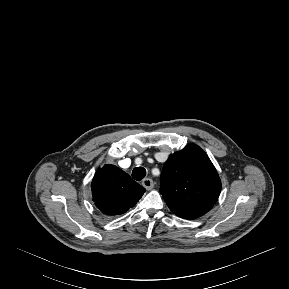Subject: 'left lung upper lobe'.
Returning a JSON list of instances; mask_svg holds the SVG:
<instances>
[{"mask_svg":"<svg viewBox=\"0 0 289 289\" xmlns=\"http://www.w3.org/2000/svg\"><path fill=\"white\" fill-rule=\"evenodd\" d=\"M221 191V180L206 153L195 144L171 154L160 176V192L170 210L185 219L207 213Z\"/></svg>","mask_w":289,"mask_h":289,"instance_id":"left-lung-upper-lobe-1","label":"left lung upper lobe"}]
</instances>
